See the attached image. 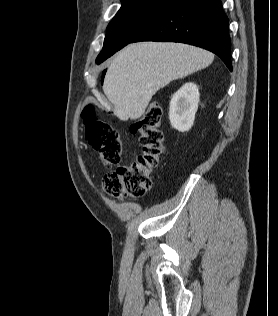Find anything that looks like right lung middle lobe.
I'll return each mask as SVG.
<instances>
[{
  "mask_svg": "<svg viewBox=\"0 0 278 316\" xmlns=\"http://www.w3.org/2000/svg\"><path fill=\"white\" fill-rule=\"evenodd\" d=\"M122 6L107 27L103 49L96 59L100 64L129 44L161 12L169 0H121Z\"/></svg>",
  "mask_w": 278,
  "mask_h": 316,
  "instance_id": "right-lung-middle-lobe-1",
  "label": "right lung middle lobe"
}]
</instances>
